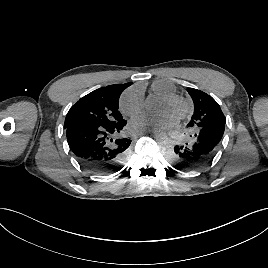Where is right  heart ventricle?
I'll return each mask as SVG.
<instances>
[{"mask_svg": "<svg viewBox=\"0 0 268 268\" xmlns=\"http://www.w3.org/2000/svg\"><path fill=\"white\" fill-rule=\"evenodd\" d=\"M151 90L161 97L176 94L177 91L172 83L164 80L155 81L151 86Z\"/></svg>", "mask_w": 268, "mask_h": 268, "instance_id": "1", "label": "right heart ventricle"}]
</instances>
